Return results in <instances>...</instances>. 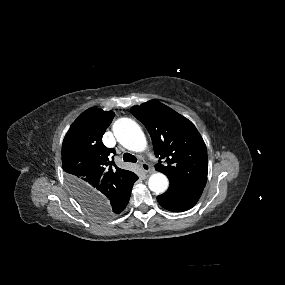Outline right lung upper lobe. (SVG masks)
<instances>
[{"mask_svg": "<svg viewBox=\"0 0 285 285\" xmlns=\"http://www.w3.org/2000/svg\"><path fill=\"white\" fill-rule=\"evenodd\" d=\"M114 112L91 108L82 113L67 132L62 145V166L77 200L84 205L109 201L123 193L138 177L118 168L102 143Z\"/></svg>", "mask_w": 285, "mask_h": 285, "instance_id": "right-lung-upper-lobe-1", "label": "right lung upper lobe"}]
</instances>
